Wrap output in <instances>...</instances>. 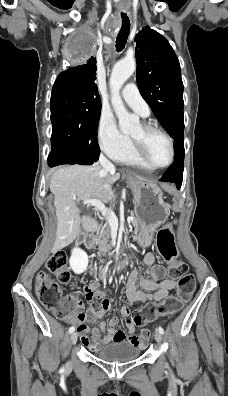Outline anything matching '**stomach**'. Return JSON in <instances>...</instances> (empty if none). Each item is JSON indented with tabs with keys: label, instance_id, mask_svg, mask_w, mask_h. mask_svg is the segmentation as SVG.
I'll use <instances>...</instances> for the list:
<instances>
[{
	"label": "stomach",
	"instance_id": "0dacf381",
	"mask_svg": "<svg viewBox=\"0 0 228 396\" xmlns=\"http://www.w3.org/2000/svg\"><path fill=\"white\" fill-rule=\"evenodd\" d=\"M127 183L134 195V210L139 223L136 240L141 247H147L151 243L156 229L165 222L168 216L163 192L157 184L150 181L127 177Z\"/></svg>",
	"mask_w": 228,
	"mask_h": 396
}]
</instances>
